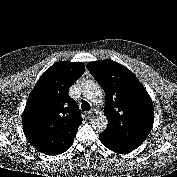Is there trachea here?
<instances>
[{
    "instance_id": "1",
    "label": "trachea",
    "mask_w": 177,
    "mask_h": 177,
    "mask_svg": "<svg viewBox=\"0 0 177 177\" xmlns=\"http://www.w3.org/2000/svg\"><path fill=\"white\" fill-rule=\"evenodd\" d=\"M81 108L84 111H88V110H90V105L87 101H82Z\"/></svg>"
}]
</instances>
